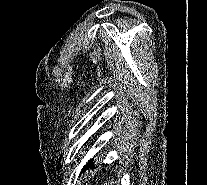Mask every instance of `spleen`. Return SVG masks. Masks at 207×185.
I'll return each instance as SVG.
<instances>
[{"label":"spleen","instance_id":"spleen-1","mask_svg":"<svg viewBox=\"0 0 207 185\" xmlns=\"http://www.w3.org/2000/svg\"><path fill=\"white\" fill-rule=\"evenodd\" d=\"M118 174H109L108 183H117Z\"/></svg>","mask_w":207,"mask_h":185}]
</instances>
